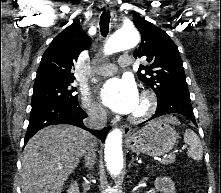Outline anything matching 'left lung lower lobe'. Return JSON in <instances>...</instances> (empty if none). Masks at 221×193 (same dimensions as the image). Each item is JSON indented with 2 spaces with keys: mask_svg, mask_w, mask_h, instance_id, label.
I'll list each match as a JSON object with an SVG mask.
<instances>
[{
  "mask_svg": "<svg viewBox=\"0 0 221 193\" xmlns=\"http://www.w3.org/2000/svg\"><path fill=\"white\" fill-rule=\"evenodd\" d=\"M169 113L182 114L188 117L197 126L188 89H178L159 101L156 112L151 119Z\"/></svg>",
  "mask_w": 221,
  "mask_h": 193,
  "instance_id": "left-lung-lower-lobe-1",
  "label": "left lung lower lobe"
}]
</instances>
